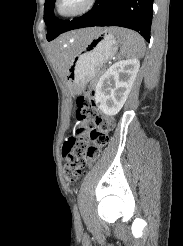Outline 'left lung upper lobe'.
I'll return each mask as SVG.
<instances>
[{
  "label": "left lung upper lobe",
  "mask_w": 183,
  "mask_h": 246,
  "mask_svg": "<svg viewBox=\"0 0 183 246\" xmlns=\"http://www.w3.org/2000/svg\"><path fill=\"white\" fill-rule=\"evenodd\" d=\"M56 0H46L44 4V21L47 25V40L51 41L62 33L69 21L54 18L53 8Z\"/></svg>",
  "instance_id": "5c2ea615"
}]
</instances>
